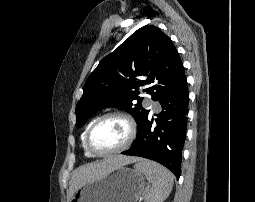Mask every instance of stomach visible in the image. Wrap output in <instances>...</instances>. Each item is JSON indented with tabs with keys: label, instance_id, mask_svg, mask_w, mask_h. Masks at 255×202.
I'll return each instance as SVG.
<instances>
[{
	"label": "stomach",
	"instance_id": "0dacf381",
	"mask_svg": "<svg viewBox=\"0 0 255 202\" xmlns=\"http://www.w3.org/2000/svg\"><path fill=\"white\" fill-rule=\"evenodd\" d=\"M145 185L143 174L121 166L84 183L70 202H137L145 193Z\"/></svg>",
	"mask_w": 255,
	"mask_h": 202
}]
</instances>
